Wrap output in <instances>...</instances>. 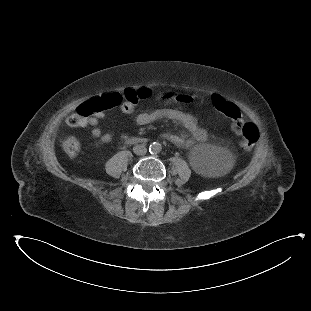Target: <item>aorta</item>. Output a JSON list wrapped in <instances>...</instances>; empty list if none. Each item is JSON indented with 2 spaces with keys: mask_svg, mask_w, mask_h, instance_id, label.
<instances>
[{
  "mask_svg": "<svg viewBox=\"0 0 311 311\" xmlns=\"http://www.w3.org/2000/svg\"><path fill=\"white\" fill-rule=\"evenodd\" d=\"M162 150V146L160 143L154 142L150 145L149 151L152 154H157Z\"/></svg>",
  "mask_w": 311,
  "mask_h": 311,
  "instance_id": "obj_1",
  "label": "aorta"
}]
</instances>
